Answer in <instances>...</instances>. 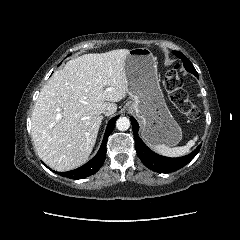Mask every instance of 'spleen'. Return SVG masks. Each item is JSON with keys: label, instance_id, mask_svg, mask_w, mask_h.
I'll return each mask as SVG.
<instances>
[{"label": "spleen", "instance_id": "3e777b00", "mask_svg": "<svg viewBox=\"0 0 240 240\" xmlns=\"http://www.w3.org/2000/svg\"><path fill=\"white\" fill-rule=\"evenodd\" d=\"M198 139L196 135L192 140L188 141L185 146L181 147H169L164 144L152 145V148L159 154L167 157H179L186 155L190 152L191 147H193Z\"/></svg>", "mask_w": 240, "mask_h": 240}]
</instances>
